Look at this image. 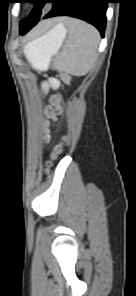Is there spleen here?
I'll return each mask as SVG.
<instances>
[{
	"mask_svg": "<svg viewBox=\"0 0 136 296\" xmlns=\"http://www.w3.org/2000/svg\"><path fill=\"white\" fill-rule=\"evenodd\" d=\"M62 27L66 33L67 30ZM98 45L99 33L95 27L70 19L68 37L55 68L74 76L86 75L96 62Z\"/></svg>",
	"mask_w": 136,
	"mask_h": 296,
	"instance_id": "3e777b00",
	"label": "spleen"
}]
</instances>
